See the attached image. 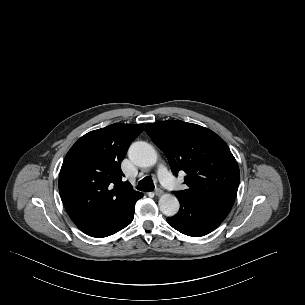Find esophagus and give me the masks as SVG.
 Wrapping results in <instances>:
<instances>
[{
  "label": "esophagus",
  "mask_w": 305,
  "mask_h": 305,
  "mask_svg": "<svg viewBox=\"0 0 305 305\" xmlns=\"http://www.w3.org/2000/svg\"><path fill=\"white\" fill-rule=\"evenodd\" d=\"M163 193H164V192H163V190H161V189H156L155 192H154V194H155L156 196H161Z\"/></svg>",
  "instance_id": "34e87169"
}]
</instances>
